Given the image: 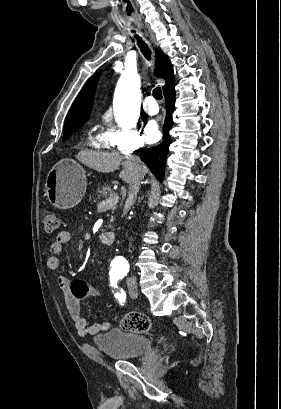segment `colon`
<instances>
[{
    "label": "colon",
    "mask_w": 281,
    "mask_h": 409,
    "mask_svg": "<svg viewBox=\"0 0 281 409\" xmlns=\"http://www.w3.org/2000/svg\"><path fill=\"white\" fill-rule=\"evenodd\" d=\"M42 221L45 230L48 233H53L60 230L58 217L51 208H42ZM120 325L124 330L143 332L149 329L150 321L145 315L141 313H128L120 319Z\"/></svg>",
    "instance_id": "5ec220e1"
}]
</instances>
